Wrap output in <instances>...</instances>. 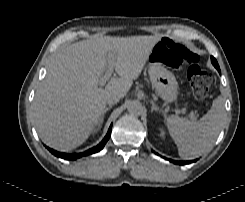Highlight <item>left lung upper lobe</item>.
Wrapping results in <instances>:
<instances>
[{
  "instance_id": "5c2ea615",
  "label": "left lung upper lobe",
  "mask_w": 245,
  "mask_h": 202,
  "mask_svg": "<svg viewBox=\"0 0 245 202\" xmlns=\"http://www.w3.org/2000/svg\"><path fill=\"white\" fill-rule=\"evenodd\" d=\"M211 62L212 64L214 65V67L219 71L220 73V68H219V65H218V62L216 61L215 58L211 57Z\"/></svg>"
}]
</instances>
